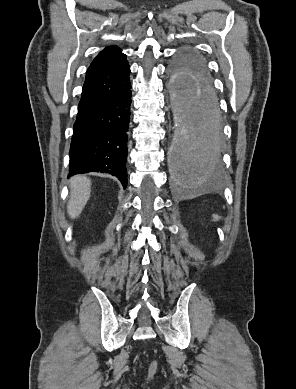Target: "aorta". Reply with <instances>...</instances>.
I'll return each instance as SVG.
<instances>
[{
	"mask_svg": "<svg viewBox=\"0 0 296 389\" xmlns=\"http://www.w3.org/2000/svg\"><path fill=\"white\" fill-rule=\"evenodd\" d=\"M168 98L177 134L168 145V163L176 189H198L219 162L217 91L203 72L190 67H169Z\"/></svg>",
	"mask_w": 296,
	"mask_h": 389,
	"instance_id": "1",
	"label": "aorta"
}]
</instances>
